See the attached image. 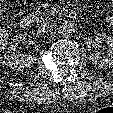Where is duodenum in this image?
Here are the masks:
<instances>
[{"instance_id": "duodenum-1", "label": "duodenum", "mask_w": 113, "mask_h": 113, "mask_svg": "<svg viewBox=\"0 0 113 113\" xmlns=\"http://www.w3.org/2000/svg\"><path fill=\"white\" fill-rule=\"evenodd\" d=\"M59 17L61 19H73L76 17L75 12L69 8H64L60 11ZM32 24V18L30 16H24L20 21V27L22 29H28Z\"/></svg>"}]
</instances>
